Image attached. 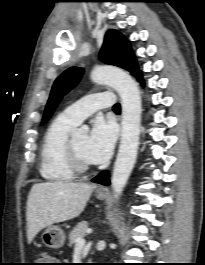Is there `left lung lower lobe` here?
Segmentation results:
<instances>
[{"label": "left lung lower lobe", "instance_id": "0a47b994", "mask_svg": "<svg viewBox=\"0 0 205 265\" xmlns=\"http://www.w3.org/2000/svg\"><path fill=\"white\" fill-rule=\"evenodd\" d=\"M137 79L142 85L144 84L141 72L138 74ZM92 182L103 184V185H109L110 182H109L108 171L105 170L102 173H100L98 176L92 179Z\"/></svg>", "mask_w": 205, "mask_h": 265}]
</instances>
